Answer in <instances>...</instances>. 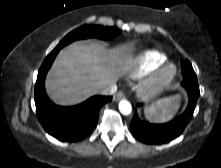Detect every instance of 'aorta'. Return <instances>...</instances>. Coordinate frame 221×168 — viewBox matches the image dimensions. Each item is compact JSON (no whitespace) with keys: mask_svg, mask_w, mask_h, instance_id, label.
I'll return each instance as SVG.
<instances>
[{"mask_svg":"<svg viewBox=\"0 0 221 168\" xmlns=\"http://www.w3.org/2000/svg\"><path fill=\"white\" fill-rule=\"evenodd\" d=\"M119 110L123 115H129L132 112V106L129 101L121 100L119 102Z\"/></svg>","mask_w":221,"mask_h":168,"instance_id":"obj_1","label":"aorta"}]
</instances>
